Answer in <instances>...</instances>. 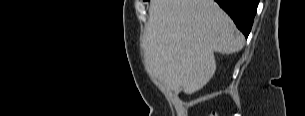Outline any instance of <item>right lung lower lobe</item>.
I'll use <instances>...</instances> for the list:
<instances>
[{"instance_id": "right-lung-lower-lobe-1", "label": "right lung lower lobe", "mask_w": 305, "mask_h": 116, "mask_svg": "<svg viewBox=\"0 0 305 116\" xmlns=\"http://www.w3.org/2000/svg\"><path fill=\"white\" fill-rule=\"evenodd\" d=\"M247 38L256 14L258 0H215Z\"/></svg>"}]
</instances>
